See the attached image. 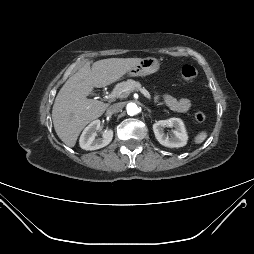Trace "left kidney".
Masks as SVG:
<instances>
[{"mask_svg":"<svg viewBox=\"0 0 254 254\" xmlns=\"http://www.w3.org/2000/svg\"><path fill=\"white\" fill-rule=\"evenodd\" d=\"M165 127L174 128L170 135L164 133ZM153 131L158 142L166 147L178 148L187 144L188 135L184 123L179 118L160 120L153 124Z\"/></svg>","mask_w":254,"mask_h":254,"instance_id":"left-kidney-1","label":"left kidney"}]
</instances>
